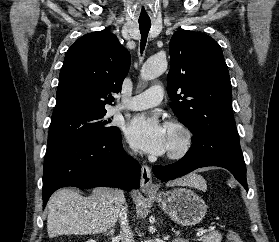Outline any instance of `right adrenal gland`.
Returning <instances> with one entry per match:
<instances>
[{"instance_id": "1", "label": "right adrenal gland", "mask_w": 279, "mask_h": 242, "mask_svg": "<svg viewBox=\"0 0 279 242\" xmlns=\"http://www.w3.org/2000/svg\"><path fill=\"white\" fill-rule=\"evenodd\" d=\"M114 233H115V229L114 228L109 231V234H111V235H114Z\"/></svg>"}]
</instances>
